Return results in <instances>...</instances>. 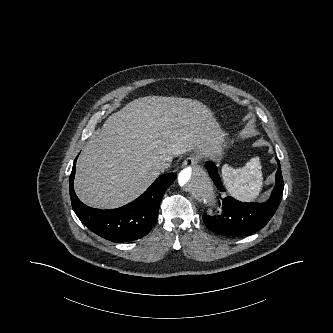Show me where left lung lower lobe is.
Here are the masks:
<instances>
[{
  "instance_id": "0a47b994",
  "label": "left lung lower lobe",
  "mask_w": 333,
  "mask_h": 333,
  "mask_svg": "<svg viewBox=\"0 0 333 333\" xmlns=\"http://www.w3.org/2000/svg\"><path fill=\"white\" fill-rule=\"evenodd\" d=\"M276 172V185L271 198L263 203H242L232 197L222 200L220 197V214L203 215L205 225L215 233L228 236H243L262 229L276 212L283 195V178L279 160ZM206 168L215 185L224 191L217 168L212 162H206ZM219 213V212H218Z\"/></svg>"
}]
</instances>
